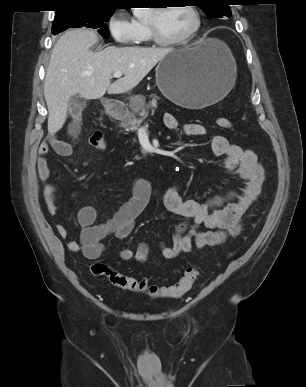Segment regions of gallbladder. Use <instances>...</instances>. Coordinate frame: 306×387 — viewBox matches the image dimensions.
<instances>
[{
  "label": "gallbladder",
  "instance_id": "1",
  "mask_svg": "<svg viewBox=\"0 0 306 387\" xmlns=\"http://www.w3.org/2000/svg\"><path fill=\"white\" fill-rule=\"evenodd\" d=\"M85 104V101H82L79 96H74L70 99L68 108L69 110H72L73 108L77 107L78 105Z\"/></svg>",
  "mask_w": 306,
  "mask_h": 387
}]
</instances>
